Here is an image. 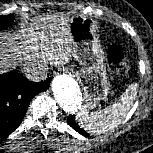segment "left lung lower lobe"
I'll use <instances>...</instances> for the list:
<instances>
[{
	"label": "left lung lower lobe",
	"instance_id": "0a47b994",
	"mask_svg": "<svg viewBox=\"0 0 153 153\" xmlns=\"http://www.w3.org/2000/svg\"><path fill=\"white\" fill-rule=\"evenodd\" d=\"M68 123H69V125H70L73 129H75L78 133H80V134H82V135H84V136H88V134H87L84 130H82V129L76 124L74 116H70V117L68 118Z\"/></svg>",
	"mask_w": 153,
	"mask_h": 153
}]
</instances>
